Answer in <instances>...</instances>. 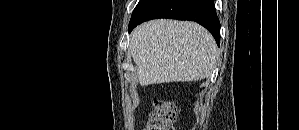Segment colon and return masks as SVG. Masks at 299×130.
Wrapping results in <instances>:
<instances>
[{
	"instance_id": "5ec220e1",
	"label": "colon",
	"mask_w": 299,
	"mask_h": 130,
	"mask_svg": "<svg viewBox=\"0 0 299 130\" xmlns=\"http://www.w3.org/2000/svg\"><path fill=\"white\" fill-rule=\"evenodd\" d=\"M177 118L175 105L166 100H156L144 130H174Z\"/></svg>"
}]
</instances>
